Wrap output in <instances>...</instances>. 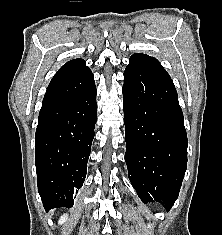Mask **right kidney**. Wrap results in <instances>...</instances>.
<instances>
[{
	"label": "right kidney",
	"instance_id": "ca27d5eb",
	"mask_svg": "<svg viewBox=\"0 0 222 235\" xmlns=\"http://www.w3.org/2000/svg\"><path fill=\"white\" fill-rule=\"evenodd\" d=\"M67 217H68L67 214H64L63 216H61V218L59 220V224H63L66 221Z\"/></svg>",
	"mask_w": 222,
	"mask_h": 235
}]
</instances>
